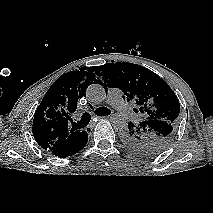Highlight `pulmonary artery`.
<instances>
[{"label":"pulmonary artery","instance_id":"1","mask_svg":"<svg viewBox=\"0 0 213 213\" xmlns=\"http://www.w3.org/2000/svg\"><path fill=\"white\" fill-rule=\"evenodd\" d=\"M107 102L112 105L122 116L131 117L133 115L127 103L122 98V92L119 88L108 90Z\"/></svg>","mask_w":213,"mask_h":213}]
</instances>
